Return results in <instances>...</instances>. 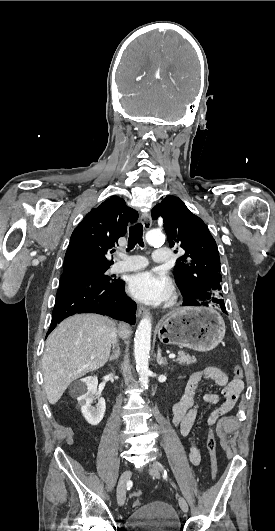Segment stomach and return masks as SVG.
I'll use <instances>...</instances> for the list:
<instances>
[{
    "mask_svg": "<svg viewBox=\"0 0 275 531\" xmlns=\"http://www.w3.org/2000/svg\"><path fill=\"white\" fill-rule=\"evenodd\" d=\"M157 329L163 345H178L199 353L215 349L222 343L226 331L220 313L210 307H199L196 301L163 317Z\"/></svg>",
    "mask_w": 275,
    "mask_h": 531,
    "instance_id": "0dacf381",
    "label": "stomach"
}]
</instances>
